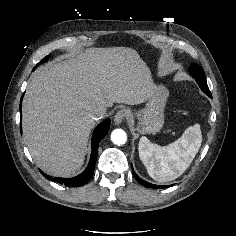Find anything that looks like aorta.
I'll return each mask as SVG.
<instances>
[{
  "instance_id": "762f6f07",
  "label": "aorta",
  "mask_w": 236,
  "mask_h": 236,
  "mask_svg": "<svg viewBox=\"0 0 236 236\" xmlns=\"http://www.w3.org/2000/svg\"><path fill=\"white\" fill-rule=\"evenodd\" d=\"M111 140L116 145H123L127 140L125 131L123 129H115L111 134Z\"/></svg>"
}]
</instances>
